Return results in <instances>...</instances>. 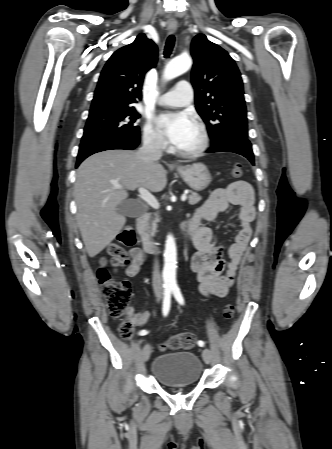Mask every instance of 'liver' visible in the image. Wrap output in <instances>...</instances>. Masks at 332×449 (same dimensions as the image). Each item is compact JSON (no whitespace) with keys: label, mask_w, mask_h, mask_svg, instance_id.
I'll use <instances>...</instances> for the list:
<instances>
[{"label":"liver","mask_w":332,"mask_h":449,"mask_svg":"<svg viewBox=\"0 0 332 449\" xmlns=\"http://www.w3.org/2000/svg\"><path fill=\"white\" fill-rule=\"evenodd\" d=\"M137 152L109 150L97 153L81 163L77 170L74 195L77 222L90 257L99 254L119 234L126 223L117 211L127 199L128 190L143 187L162 191L166 172L158 162L145 163ZM114 183L122 186L115 189Z\"/></svg>","instance_id":"liver-1"}]
</instances>
